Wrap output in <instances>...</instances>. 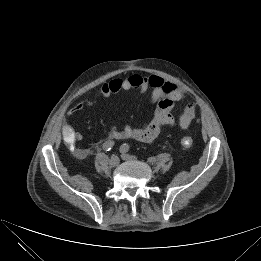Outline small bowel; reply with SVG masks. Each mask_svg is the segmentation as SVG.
Wrapping results in <instances>:
<instances>
[{
    "instance_id": "c3829d8e",
    "label": "small bowel",
    "mask_w": 261,
    "mask_h": 261,
    "mask_svg": "<svg viewBox=\"0 0 261 261\" xmlns=\"http://www.w3.org/2000/svg\"><path fill=\"white\" fill-rule=\"evenodd\" d=\"M149 89L151 90L150 101L155 105L152 118L141 126L126 124L119 128L112 125L109 131L111 139H135L149 142L159 135L162 126L173 127L175 125V118L171 114V110L175 103L183 98V91L176 84L165 81L157 75L144 76L133 73L124 78H113L103 84L98 93L104 98H109L120 91L136 90L144 93ZM92 105V102H77L68 111V117ZM195 116L196 106L190 103L184 108L179 118V126L183 130L188 129ZM63 138L66 143L73 146L82 140V135L66 123L63 127ZM89 151V149H76V154L79 157H84L89 154Z\"/></svg>"
}]
</instances>
